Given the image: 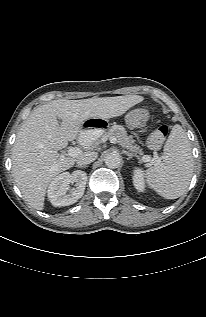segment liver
Listing matches in <instances>:
<instances>
[{
  "label": "liver",
  "instance_id": "obj_1",
  "mask_svg": "<svg viewBox=\"0 0 206 317\" xmlns=\"http://www.w3.org/2000/svg\"><path fill=\"white\" fill-rule=\"evenodd\" d=\"M142 101L139 95L58 99L33 110L18 131L12 149V173L28 204L43 210L49 183L75 164L78 156L66 157L58 150L78 135L80 144L90 148L91 142L79 134L86 120L121 116Z\"/></svg>",
  "mask_w": 206,
  "mask_h": 317
}]
</instances>
